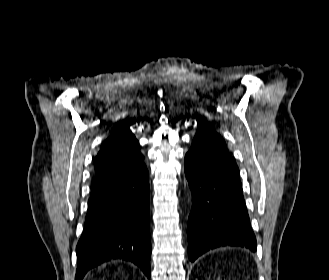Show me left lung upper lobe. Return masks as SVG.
<instances>
[{
	"label": "left lung upper lobe",
	"instance_id": "5c2ea615",
	"mask_svg": "<svg viewBox=\"0 0 329 280\" xmlns=\"http://www.w3.org/2000/svg\"><path fill=\"white\" fill-rule=\"evenodd\" d=\"M231 157L222 137L207 123L198 121V128L192 146L185 156V162L199 172L216 173L221 156Z\"/></svg>",
	"mask_w": 329,
	"mask_h": 280
}]
</instances>
